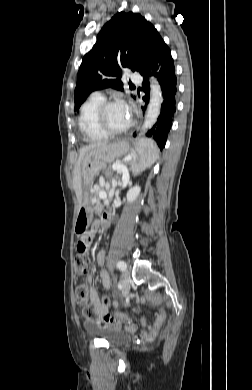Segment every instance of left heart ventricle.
I'll return each mask as SVG.
<instances>
[{"label":"left heart ventricle","instance_id":"left-heart-ventricle-1","mask_svg":"<svg viewBox=\"0 0 252 390\" xmlns=\"http://www.w3.org/2000/svg\"><path fill=\"white\" fill-rule=\"evenodd\" d=\"M106 121L110 128L121 130L127 127L131 121V113L125 104H115L108 108Z\"/></svg>","mask_w":252,"mask_h":390}]
</instances>
